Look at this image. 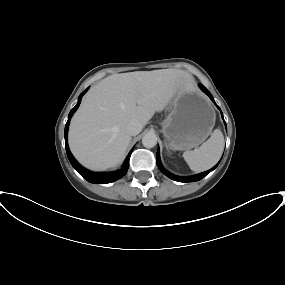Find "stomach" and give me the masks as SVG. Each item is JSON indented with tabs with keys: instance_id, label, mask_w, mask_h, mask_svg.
<instances>
[{
	"instance_id": "1",
	"label": "stomach",
	"mask_w": 285,
	"mask_h": 285,
	"mask_svg": "<svg viewBox=\"0 0 285 285\" xmlns=\"http://www.w3.org/2000/svg\"><path fill=\"white\" fill-rule=\"evenodd\" d=\"M215 124V111L200 92H182L174 99L170 114L162 123L167 147L190 150L204 142Z\"/></svg>"
}]
</instances>
